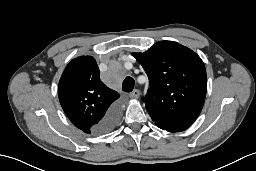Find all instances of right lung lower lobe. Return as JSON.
<instances>
[{"mask_svg":"<svg viewBox=\"0 0 256 171\" xmlns=\"http://www.w3.org/2000/svg\"><path fill=\"white\" fill-rule=\"evenodd\" d=\"M119 113H120V108L118 105H115L112 108H110L106 116L103 118L101 122L102 129L103 130L112 129L118 121Z\"/></svg>","mask_w":256,"mask_h":171,"instance_id":"98d812e1","label":"right lung lower lobe"}]
</instances>
